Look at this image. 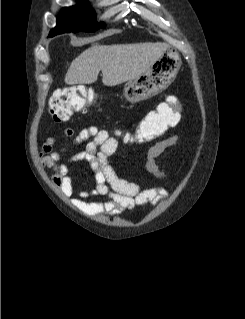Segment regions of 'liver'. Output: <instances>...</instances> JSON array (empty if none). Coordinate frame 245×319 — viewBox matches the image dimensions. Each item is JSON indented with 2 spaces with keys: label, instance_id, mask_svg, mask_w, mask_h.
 <instances>
[{
  "label": "liver",
  "instance_id": "liver-1",
  "mask_svg": "<svg viewBox=\"0 0 245 319\" xmlns=\"http://www.w3.org/2000/svg\"><path fill=\"white\" fill-rule=\"evenodd\" d=\"M168 49L166 43L93 45L76 57L65 75L68 85L94 83L100 71L106 86H116L143 74Z\"/></svg>",
  "mask_w": 245,
  "mask_h": 319
}]
</instances>
